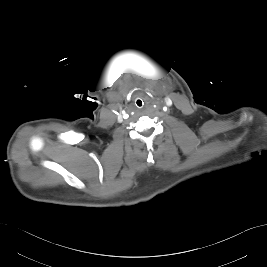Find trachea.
Wrapping results in <instances>:
<instances>
[{"mask_svg":"<svg viewBox=\"0 0 267 267\" xmlns=\"http://www.w3.org/2000/svg\"><path fill=\"white\" fill-rule=\"evenodd\" d=\"M138 106H142V102L140 101V103L139 104H137Z\"/></svg>","mask_w":267,"mask_h":267,"instance_id":"obj_1","label":"trachea"}]
</instances>
